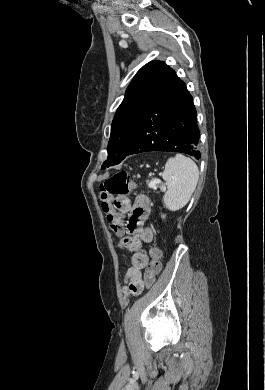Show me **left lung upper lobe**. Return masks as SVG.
Returning a JSON list of instances; mask_svg holds the SVG:
<instances>
[{"mask_svg":"<svg viewBox=\"0 0 265 390\" xmlns=\"http://www.w3.org/2000/svg\"><path fill=\"white\" fill-rule=\"evenodd\" d=\"M172 71L164 62L152 61L134 76L112 121L108 157L102 169L124 159L136 137L145 108Z\"/></svg>","mask_w":265,"mask_h":390,"instance_id":"5c2ea615","label":"left lung upper lobe"}]
</instances>
